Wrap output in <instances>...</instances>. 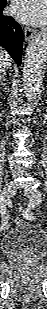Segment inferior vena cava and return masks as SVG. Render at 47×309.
Instances as JSON below:
<instances>
[{"label":"inferior vena cava","instance_id":"obj_1","mask_svg":"<svg viewBox=\"0 0 47 309\" xmlns=\"http://www.w3.org/2000/svg\"><path fill=\"white\" fill-rule=\"evenodd\" d=\"M6 55H7V53L6 52H4ZM8 56V55H7ZM8 67H10V63L9 64H4V65H1V71H3L4 72V69L5 68H8Z\"/></svg>","mask_w":47,"mask_h":309}]
</instances>
